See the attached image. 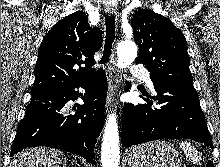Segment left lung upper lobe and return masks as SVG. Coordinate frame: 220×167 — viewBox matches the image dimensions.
Masks as SVG:
<instances>
[{"instance_id": "obj_1", "label": "left lung upper lobe", "mask_w": 220, "mask_h": 167, "mask_svg": "<svg viewBox=\"0 0 220 167\" xmlns=\"http://www.w3.org/2000/svg\"><path fill=\"white\" fill-rule=\"evenodd\" d=\"M131 25L140 50L136 64H143L150 71L153 84L194 88L181 30L168 18L148 9L138 10Z\"/></svg>"}]
</instances>
